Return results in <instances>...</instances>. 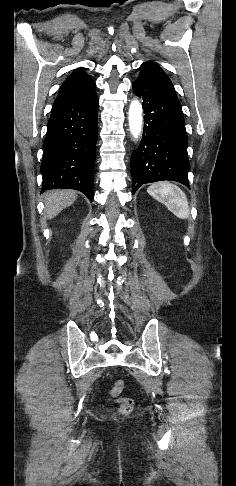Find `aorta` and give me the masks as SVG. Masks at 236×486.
I'll return each mask as SVG.
<instances>
[{
	"mask_svg": "<svg viewBox=\"0 0 236 486\" xmlns=\"http://www.w3.org/2000/svg\"><path fill=\"white\" fill-rule=\"evenodd\" d=\"M129 128L133 136L137 137L142 130V106L138 100H133L128 112Z\"/></svg>",
	"mask_w": 236,
	"mask_h": 486,
	"instance_id": "1",
	"label": "aorta"
}]
</instances>
